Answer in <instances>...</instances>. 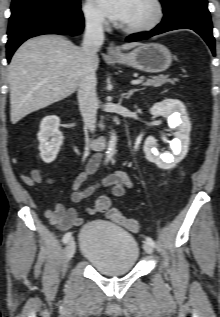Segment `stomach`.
I'll use <instances>...</instances> for the list:
<instances>
[{
  "label": "stomach",
  "instance_id": "1",
  "mask_svg": "<svg viewBox=\"0 0 220 317\" xmlns=\"http://www.w3.org/2000/svg\"><path fill=\"white\" fill-rule=\"evenodd\" d=\"M112 60L140 71L159 73L170 67L172 55L162 44L147 43L139 45L130 53L112 57Z\"/></svg>",
  "mask_w": 220,
  "mask_h": 317
}]
</instances>
